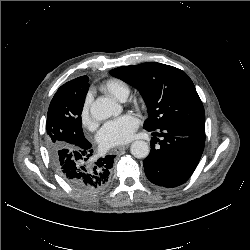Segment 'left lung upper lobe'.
I'll use <instances>...</instances> for the list:
<instances>
[{"instance_id": "obj_1", "label": "left lung upper lobe", "mask_w": 250, "mask_h": 250, "mask_svg": "<svg viewBox=\"0 0 250 250\" xmlns=\"http://www.w3.org/2000/svg\"><path fill=\"white\" fill-rule=\"evenodd\" d=\"M110 73L140 91L149 115L144 123L147 131L205 122L203 104L192 80L182 70L148 62L118 67Z\"/></svg>"}]
</instances>
